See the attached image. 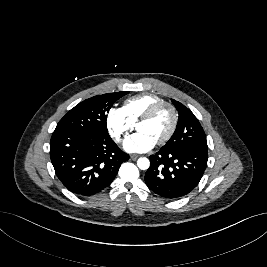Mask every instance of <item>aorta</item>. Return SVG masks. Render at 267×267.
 <instances>
[{
	"instance_id": "762f6f07",
	"label": "aorta",
	"mask_w": 267,
	"mask_h": 267,
	"mask_svg": "<svg viewBox=\"0 0 267 267\" xmlns=\"http://www.w3.org/2000/svg\"><path fill=\"white\" fill-rule=\"evenodd\" d=\"M137 166L141 170H147L150 166V161L146 157H141L137 161Z\"/></svg>"
}]
</instances>
